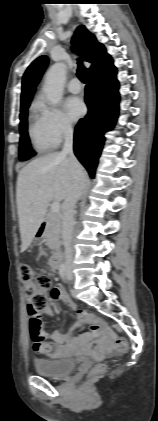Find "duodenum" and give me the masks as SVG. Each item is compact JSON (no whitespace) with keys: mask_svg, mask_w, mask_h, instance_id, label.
Wrapping results in <instances>:
<instances>
[{"mask_svg":"<svg viewBox=\"0 0 158 421\" xmlns=\"http://www.w3.org/2000/svg\"><path fill=\"white\" fill-rule=\"evenodd\" d=\"M45 228V223L41 225V231H43ZM63 259V253L61 251H56L53 253L50 259V265L52 269H59L62 263Z\"/></svg>","mask_w":158,"mask_h":421,"instance_id":"410a0bca","label":"duodenum"}]
</instances>
